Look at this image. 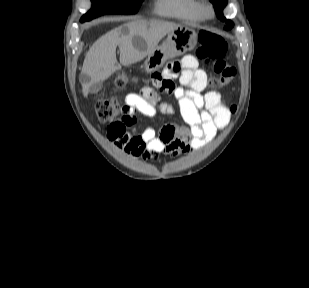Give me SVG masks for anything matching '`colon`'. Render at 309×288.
Instances as JSON below:
<instances>
[{
  "mask_svg": "<svg viewBox=\"0 0 309 288\" xmlns=\"http://www.w3.org/2000/svg\"><path fill=\"white\" fill-rule=\"evenodd\" d=\"M199 46L196 51L197 57L205 63H212L214 75L211 85L215 89H221L229 85L234 77L235 69L226 60L227 45L224 39L211 31L202 30L198 34ZM127 84V79L119 75L113 85L116 91L121 90ZM160 92H167L166 85L161 83L157 86ZM97 118L103 122H118L124 126L135 123V116L126 106H121L111 99L102 98L95 104Z\"/></svg>",
  "mask_w": 309,
  "mask_h": 288,
  "instance_id": "obj_1",
  "label": "colon"
}]
</instances>
